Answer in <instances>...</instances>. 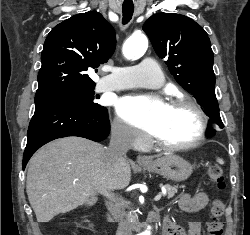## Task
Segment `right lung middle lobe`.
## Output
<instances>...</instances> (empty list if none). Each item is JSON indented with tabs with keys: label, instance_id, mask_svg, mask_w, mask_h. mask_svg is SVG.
Here are the masks:
<instances>
[{
	"label": "right lung middle lobe",
	"instance_id": "obj_1",
	"mask_svg": "<svg viewBox=\"0 0 250 235\" xmlns=\"http://www.w3.org/2000/svg\"><path fill=\"white\" fill-rule=\"evenodd\" d=\"M94 88L95 86H91L84 89L56 93L40 98H35V103H38L40 101L66 102L84 105L91 109H99L103 106H100L98 103L95 102V99L97 97L94 96Z\"/></svg>",
	"mask_w": 250,
	"mask_h": 235
}]
</instances>
